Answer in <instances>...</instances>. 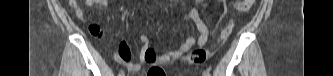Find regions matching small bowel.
Wrapping results in <instances>:
<instances>
[{
    "mask_svg": "<svg viewBox=\"0 0 333 76\" xmlns=\"http://www.w3.org/2000/svg\"><path fill=\"white\" fill-rule=\"evenodd\" d=\"M202 2V0L194 1L192 8L184 14V19L186 21L194 23L198 32L197 38L189 36L177 49L166 50L157 54L150 39L146 35H141L140 42L142 43V47L137 61H131L130 47L125 40H122L114 54L115 61L125 65L128 70L134 72L139 71L143 64H147L146 76H168L166 68H162V66L171 65L173 62L184 56L195 45L204 46L212 34V30L199 16L198 7ZM84 4L87 7L98 5L107 8L109 7L110 2L109 0H85ZM68 6L74 11L75 16L79 20H84V12L78 0H69ZM89 29L93 39L103 38V32H100L101 27L98 23H92L89 26Z\"/></svg>",
    "mask_w": 333,
    "mask_h": 76,
    "instance_id": "1",
    "label": "small bowel"
}]
</instances>
